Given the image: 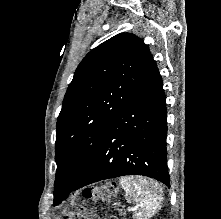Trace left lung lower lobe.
Listing matches in <instances>:
<instances>
[{
	"label": "left lung lower lobe",
	"mask_w": 221,
	"mask_h": 219,
	"mask_svg": "<svg viewBox=\"0 0 221 219\" xmlns=\"http://www.w3.org/2000/svg\"><path fill=\"white\" fill-rule=\"evenodd\" d=\"M166 114L162 79L155 65L141 89L116 116L72 190L125 175L148 176L169 186Z\"/></svg>",
	"instance_id": "1"
}]
</instances>
